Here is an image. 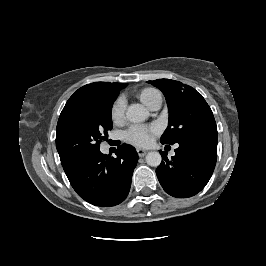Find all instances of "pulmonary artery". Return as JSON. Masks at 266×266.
<instances>
[{
    "mask_svg": "<svg viewBox=\"0 0 266 266\" xmlns=\"http://www.w3.org/2000/svg\"><path fill=\"white\" fill-rule=\"evenodd\" d=\"M161 102H162V99L156 101L151 107L150 109L151 110H158L161 106Z\"/></svg>",
    "mask_w": 266,
    "mask_h": 266,
    "instance_id": "1",
    "label": "pulmonary artery"
}]
</instances>
